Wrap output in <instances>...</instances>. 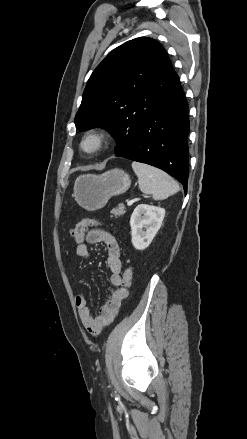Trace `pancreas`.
<instances>
[{
	"instance_id": "cf45deb5",
	"label": "pancreas",
	"mask_w": 247,
	"mask_h": 439,
	"mask_svg": "<svg viewBox=\"0 0 247 439\" xmlns=\"http://www.w3.org/2000/svg\"><path fill=\"white\" fill-rule=\"evenodd\" d=\"M125 213V206L123 204H119L117 208L111 210V217L118 218L120 216H123Z\"/></svg>"
}]
</instances>
